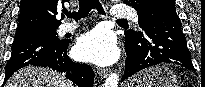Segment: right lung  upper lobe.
<instances>
[{"label": "right lung upper lobe", "mask_w": 205, "mask_h": 87, "mask_svg": "<svg viewBox=\"0 0 205 87\" xmlns=\"http://www.w3.org/2000/svg\"><path fill=\"white\" fill-rule=\"evenodd\" d=\"M69 0H21L16 34L56 29L61 21L56 15ZM63 18V17H61Z\"/></svg>", "instance_id": "obj_1"}]
</instances>
